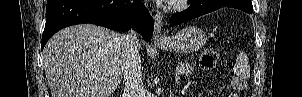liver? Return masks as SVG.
Instances as JSON below:
<instances>
[{
    "mask_svg": "<svg viewBox=\"0 0 302 97\" xmlns=\"http://www.w3.org/2000/svg\"><path fill=\"white\" fill-rule=\"evenodd\" d=\"M125 60L122 35L91 24L62 29L43 50L52 97H110Z\"/></svg>",
    "mask_w": 302,
    "mask_h": 97,
    "instance_id": "liver-1",
    "label": "liver"
}]
</instances>
